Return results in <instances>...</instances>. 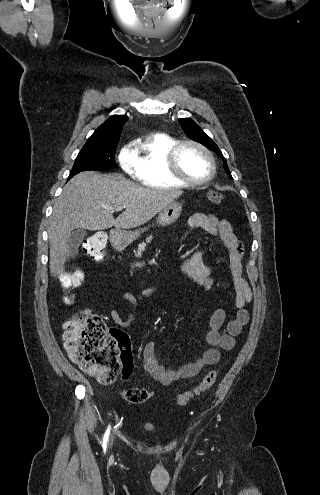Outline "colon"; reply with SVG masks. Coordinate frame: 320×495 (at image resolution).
Masks as SVG:
<instances>
[{"mask_svg":"<svg viewBox=\"0 0 320 495\" xmlns=\"http://www.w3.org/2000/svg\"><path fill=\"white\" fill-rule=\"evenodd\" d=\"M223 196L219 192L209 194L210 202L221 203ZM106 235L97 232L87 238L83 244L85 254L96 262H105ZM80 272L70 271L64 274L61 284L65 289H73L81 284ZM63 342L70 359L82 370L94 375L102 384L113 383L121 367L132 364L131 345L127 335L116 329H109L103 318L92 312L82 311L64 324ZM217 379L216 370L209 371L195 388L179 394L178 406H185L196 395L209 390ZM123 398L132 404L148 400L151 395L146 389L132 388L122 392Z\"/></svg>","mask_w":320,"mask_h":495,"instance_id":"obj_1","label":"colon"}]
</instances>
